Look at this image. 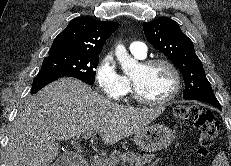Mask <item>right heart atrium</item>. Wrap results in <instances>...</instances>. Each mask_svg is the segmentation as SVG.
<instances>
[{
	"label": "right heart atrium",
	"mask_w": 231,
	"mask_h": 166,
	"mask_svg": "<svg viewBox=\"0 0 231 166\" xmlns=\"http://www.w3.org/2000/svg\"><path fill=\"white\" fill-rule=\"evenodd\" d=\"M95 81L102 94L113 101L121 100L130 90L129 82L117 69L111 53L99 60L95 68Z\"/></svg>",
	"instance_id": "obj_1"
}]
</instances>
